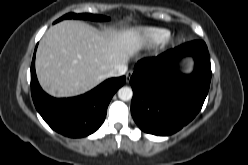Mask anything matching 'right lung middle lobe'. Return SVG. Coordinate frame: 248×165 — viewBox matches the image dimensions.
I'll use <instances>...</instances> for the list:
<instances>
[{
    "label": "right lung middle lobe",
    "instance_id": "obj_1",
    "mask_svg": "<svg viewBox=\"0 0 248 165\" xmlns=\"http://www.w3.org/2000/svg\"><path fill=\"white\" fill-rule=\"evenodd\" d=\"M68 18H74V19H89V20H94V21H106L109 20L108 17L101 16V15H93V14H75V13H68L64 15L63 17L59 18L56 22H59L63 19H68Z\"/></svg>",
    "mask_w": 248,
    "mask_h": 165
}]
</instances>
